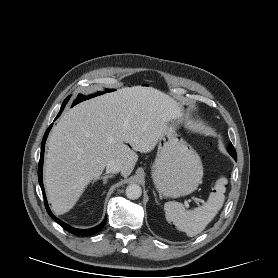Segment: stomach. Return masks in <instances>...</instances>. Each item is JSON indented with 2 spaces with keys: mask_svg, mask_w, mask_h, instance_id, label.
<instances>
[{
  "mask_svg": "<svg viewBox=\"0 0 278 278\" xmlns=\"http://www.w3.org/2000/svg\"><path fill=\"white\" fill-rule=\"evenodd\" d=\"M203 165L197 152L168 124L159 140L152 167V179L160 195L177 198L197 189L202 181Z\"/></svg>",
  "mask_w": 278,
  "mask_h": 278,
  "instance_id": "1",
  "label": "stomach"
}]
</instances>
